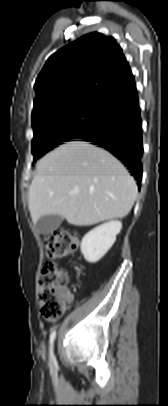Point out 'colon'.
<instances>
[{
    "label": "colon",
    "instance_id": "colon-1",
    "mask_svg": "<svg viewBox=\"0 0 168 406\" xmlns=\"http://www.w3.org/2000/svg\"><path fill=\"white\" fill-rule=\"evenodd\" d=\"M77 238L67 229H59L44 238L45 262L38 276L37 292L40 313L47 321H56L64 313L68 272L53 260L61 259L77 248Z\"/></svg>",
    "mask_w": 168,
    "mask_h": 406
}]
</instances>
